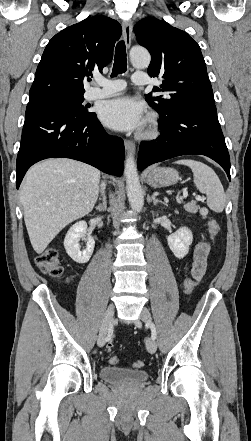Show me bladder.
<instances>
[{
    "instance_id": "obj_1",
    "label": "bladder",
    "mask_w": 251,
    "mask_h": 441,
    "mask_svg": "<svg viewBox=\"0 0 251 441\" xmlns=\"http://www.w3.org/2000/svg\"><path fill=\"white\" fill-rule=\"evenodd\" d=\"M100 377L112 384L139 385L149 378V373L145 370L105 366L100 370Z\"/></svg>"
}]
</instances>
